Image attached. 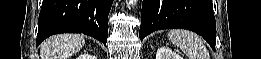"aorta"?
<instances>
[{"label":"aorta","mask_w":261,"mask_h":59,"mask_svg":"<svg viewBox=\"0 0 261 59\" xmlns=\"http://www.w3.org/2000/svg\"><path fill=\"white\" fill-rule=\"evenodd\" d=\"M129 2V5L130 6H133V5H136V3L138 2V0H128Z\"/></svg>","instance_id":"762f6f07"}]
</instances>
